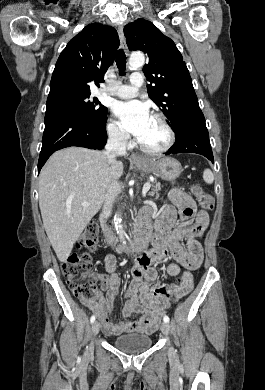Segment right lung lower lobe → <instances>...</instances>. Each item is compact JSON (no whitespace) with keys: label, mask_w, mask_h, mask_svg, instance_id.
I'll return each mask as SVG.
<instances>
[{"label":"right lung lower lobe","mask_w":265,"mask_h":390,"mask_svg":"<svg viewBox=\"0 0 265 390\" xmlns=\"http://www.w3.org/2000/svg\"><path fill=\"white\" fill-rule=\"evenodd\" d=\"M45 129L38 162V172L49 156L62 148L80 146L102 149L107 141L106 120L94 123L74 114L45 115Z\"/></svg>","instance_id":"obj_1"}]
</instances>
